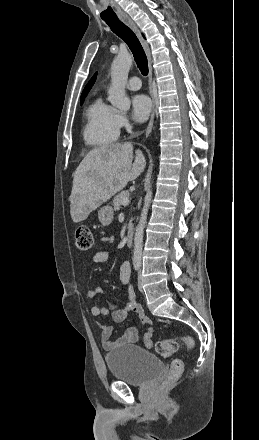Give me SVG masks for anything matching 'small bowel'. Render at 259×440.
Listing matches in <instances>:
<instances>
[{
  "mask_svg": "<svg viewBox=\"0 0 259 440\" xmlns=\"http://www.w3.org/2000/svg\"><path fill=\"white\" fill-rule=\"evenodd\" d=\"M102 241L112 243L114 241L113 236L104 237ZM109 254L107 251H98L95 253L93 260L96 263H105L108 260ZM119 279L122 284L128 287V300L127 303L121 307L118 304L107 301L106 305L94 304L90 308V312L94 317H106L111 316V319L115 323H121L126 320L130 313L136 314L138 320L146 327L145 344L147 347H152L151 336L153 332L152 320L144 314L142 306L136 300L135 291L131 285V267L128 262H123L119 270ZM103 289L97 287L95 289H89L86 292L88 298L93 299L99 294H103ZM100 338L104 349L111 350L117 347L133 344L138 340V331L135 327H129L125 330L122 336L113 338V327L110 325L100 326Z\"/></svg>",
  "mask_w": 259,
  "mask_h": 440,
  "instance_id": "obj_1",
  "label": "small bowel"
}]
</instances>
